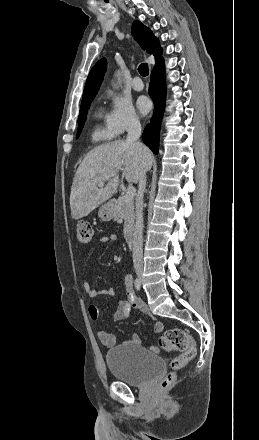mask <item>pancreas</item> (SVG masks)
<instances>
[{"label":"pancreas","mask_w":259,"mask_h":440,"mask_svg":"<svg viewBox=\"0 0 259 440\" xmlns=\"http://www.w3.org/2000/svg\"><path fill=\"white\" fill-rule=\"evenodd\" d=\"M115 218L124 219V236L127 237L133 229L135 211H134V201L126 202L124 197L118 198L115 204Z\"/></svg>","instance_id":"pancreas-1"}]
</instances>
